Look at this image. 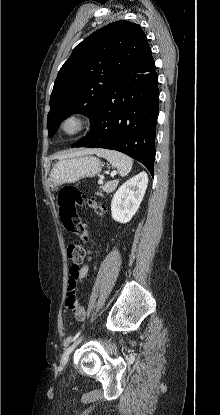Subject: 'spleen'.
I'll return each mask as SVG.
<instances>
[{
	"instance_id": "obj_1",
	"label": "spleen",
	"mask_w": 220,
	"mask_h": 415,
	"mask_svg": "<svg viewBox=\"0 0 220 415\" xmlns=\"http://www.w3.org/2000/svg\"><path fill=\"white\" fill-rule=\"evenodd\" d=\"M95 153L97 156L105 158L113 167L117 168L122 177L127 176L132 169V159L123 153L107 149H99Z\"/></svg>"
}]
</instances>
